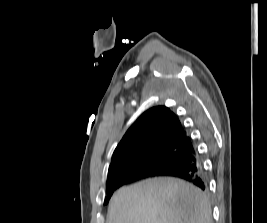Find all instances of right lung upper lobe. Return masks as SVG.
Instances as JSON below:
<instances>
[{
	"label": "right lung upper lobe",
	"instance_id": "1",
	"mask_svg": "<svg viewBox=\"0 0 267 223\" xmlns=\"http://www.w3.org/2000/svg\"><path fill=\"white\" fill-rule=\"evenodd\" d=\"M192 144L176 114L165 106L153 107L132 124L116 147L108 179L125 173L128 163L155 155L161 147L175 145L186 151Z\"/></svg>",
	"mask_w": 267,
	"mask_h": 223
}]
</instances>
